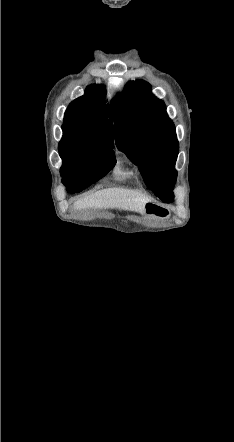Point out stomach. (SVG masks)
<instances>
[{
	"instance_id": "0dacf381",
	"label": "stomach",
	"mask_w": 234,
	"mask_h": 442,
	"mask_svg": "<svg viewBox=\"0 0 234 442\" xmlns=\"http://www.w3.org/2000/svg\"><path fill=\"white\" fill-rule=\"evenodd\" d=\"M144 212L147 215H152V216H156L159 218H164L167 216L168 211L164 210V208L152 203V202H147L144 206Z\"/></svg>"
}]
</instances>
